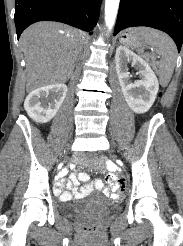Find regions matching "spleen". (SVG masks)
I'll list each match as a JSON object with an SVG mask.
<instances>
[{
    "label": "spleen",
    "instance_id": "1",
    "mask_svg": "<svg viewBox=\"0 0 183 246\" xmlns=\"http://www.w3.org/2000/svg\"><path fill=\"white\" fill-rule=\"evenodd\" d=\"M141 37L147 44L154 47L161 56L158 75L160 83L167 86L172 77L177 58L175 43L165 33L151 28H144Z\"/></svg>",
    "mask_w": 183,
    "mask_h": 246
}]
</instances>
